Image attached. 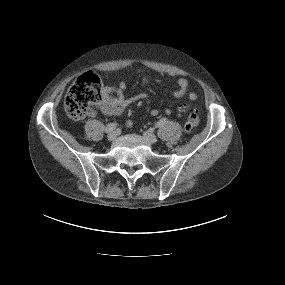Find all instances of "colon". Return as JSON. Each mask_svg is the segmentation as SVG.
Listing matches in <instances>:
<instances>
[{
  "label": "colon",
  "instance_id": "5ec220e1",
  "mask_svg": "<svg viewBox=\"0 0 285 285\" xmlns=\"http://www.w3.org/2000/svg\"><path fill=\"white\" fill-rule=\"evenodd\" d=\"M102 99V82L94 72H86L79 76L68 90L65 97V110L75 120L85 118L92 107ZM199 124L197 110L187 117L185 129L191 131Z\"/></svg>",
  "mask_w": 285,
  "mask_h": 285
}]
</instances>
